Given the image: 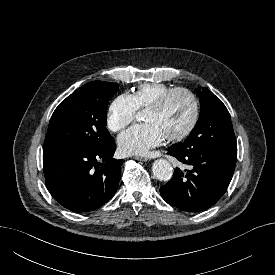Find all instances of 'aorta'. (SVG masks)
<instances>
[{"mask_svg":"<svg viewBox=\"0 0 275 275\" xmlns=\"http://www.w3.org/2000/svg\"><path fill=\"white\" fill-rule=\"evenodd\" d=\"M141 114L136 115V119L140 120ZM153 175L160 181H168L173 175V168L166 159L155 160L152 165Z\"/></svg>","mask_w":275,"mask_h":275,"instance_id":"1","label":"aorta"}]
</instances>
